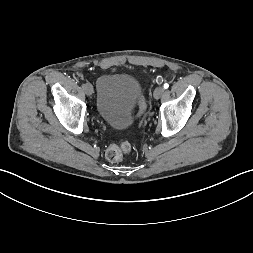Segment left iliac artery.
<instances>
[{
  "label": "left iliac artery",
  "mask_w": 253,
  "mask_h": 253,
  "mask_svg": "<svg viewBox=\"0 0 253 253\" xmlns=\"http://www.w3.org/2000/svg\"><path fill=\"white\" fill-rule=\"evenodd\" d=\"M169 85L167 83L164 84V88L167 89Z\"/></svg>",
  "instance_id": "1"
}]
</instances>
